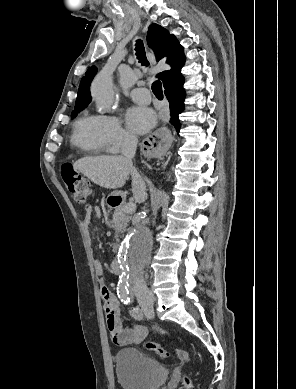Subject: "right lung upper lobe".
<instances>
[{
  "label": "right lung upper lobe",
  "instance_id": "right-lung-upper-lobe-1",
  "mask_svg": "<svg viewBox=\"0 0 296 389\" xmlns=\"http://www.w3.org/2000/svg\"><path fill=\"white\" fill-rule=\"evenodd\" d=\"M148 45L155 51L157 60L167 56V63L171 70L163 71L157 76L162 80L163 85L176 76L181 75V67L184 65V51L174 35L157 24H151L147 33ZM96 74V67H90L85 76L81 79L75 109L86 107L91 102L90 84Z\"/></svg>",
  "mask_w": 296,
  "mask_h": 389
}]
</instances>
